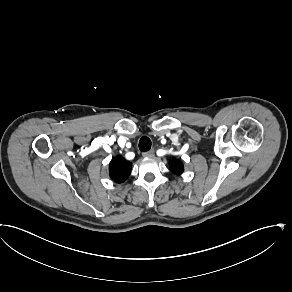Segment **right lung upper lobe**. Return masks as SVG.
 <instances>
[{
  "mask_svg": "<svg viewBox=\"0 0 292 292\" xmlns=\"http://www.w3.org/2000/svg\"><path fill=\"white\" fill-rule=\"evenodd\" d=\"M131 163L121 156L113 158L109 164L110 178L116 183H123L130 175Z\"/></svg>",
  "mask_w": 292,
  "mask_h": 292,
  "instance_id": "1",
  "label": "right lung upper lobe"
}]
</instances>
